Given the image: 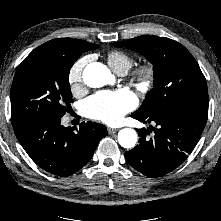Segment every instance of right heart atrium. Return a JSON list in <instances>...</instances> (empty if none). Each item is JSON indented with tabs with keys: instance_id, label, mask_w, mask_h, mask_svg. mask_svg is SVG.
<instances>
[{
	"instance_id": "d8ad5b80",
	"label": "right heart atrium",
	"mask_w": 221,
	"mask_h": 221,
	"mask_svg": "<svg viewBox=\"0 0 221 221\" xmlns=\"http://www.w3.org/2000/svg\"><path fill=\"white\" fill-rule=\"evenodd\" d=\"M86 58L78 59L68 72V83L73 94H78L83 88V69Z\"/></svg>"
}]
</instances>
